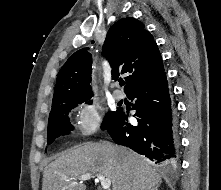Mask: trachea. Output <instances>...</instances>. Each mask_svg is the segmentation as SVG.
Here are the masks:
<instances>
[{
	"instance_id": "obj_1",
	"label": "trachea",
	"mask_w": 221,
	"mask_h": 190,
	"mask_svg": "<svg viewBox=\"0 0 221 190\" xmlns=\"http://www.w3.org/2000/svg\"><path fill=\"white\" fill-rule=\"evenodd\" d=\"M124 84H125L124 81H119V85H120V86H123Z\"/></svg>"
}]
</instances>
